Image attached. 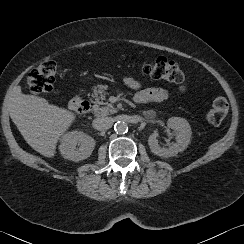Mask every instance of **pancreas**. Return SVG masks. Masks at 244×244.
Returning <instances> with one entry per match:
<instances>
[{
  "label": "pancreas",
  "mask_w": 244,
  "mask_h": 244,
  "mask_svg": "<svg viewBox=\"0 0 244 244\" xmlns=\"http://www.w3.org/2000/svg\"><path fill=\"white\" fill-rule=\"evenodd\" d=\"M95 95V102L97 104L95 114L97 116H106L109 114L115 113L117 110L114 108L111 104H108L106 102H103L106 100V95H108V92H106V86H99L94 90ZM105 104L106 106L100 107L99 105Z\"/></svg>",
  "instance_id": "pancreas-1"
}]
</instances>
